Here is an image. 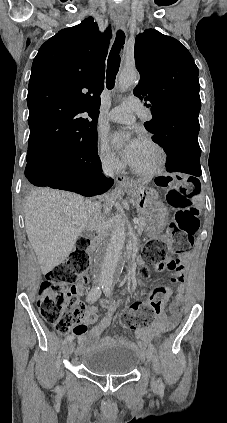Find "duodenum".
Returning <instances> with one entry per match:
<instances>
[{"instance_id": "410a0bca", "label": "duodenum", "mask_w": 227, "mask_h": 423, "mask_svg": "<svg viewBox=\"0 0 227 423\" xmlns=\"http://www.w3.org/2000/svg\"><path fill=\"white\" fill-rule=\"evenodd\" d=\"M128 254H129V255H131V256H132V258H134L135 253H134V249H133L132 247H130V248L128 249Z\"/></svg>"}]
</instances>
